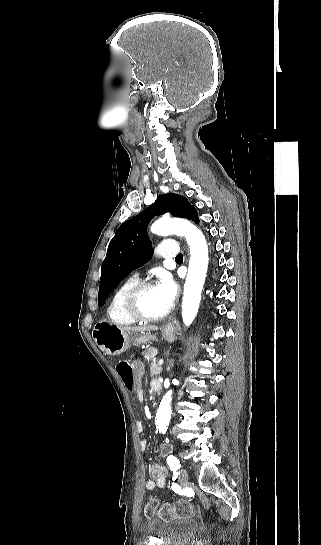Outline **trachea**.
Listing matches in <instances>:
<instances>
[{
	"label": "trachea",
	"instance_id": "obj_1",
	"mask_svg": "<svg viewBox=\"0 0 321 545\" xmlns=\"http://www.w3.org/2000/svg\"><path fill=\"white\" fill-rule=\"evenodd\" d=\"M175 260H176V261H181V260H183V256H182V254H181V253H179V255H177V257H176V259H175Z\"/></svg>",
	"mask_w": 321,
	"mask_h": 545
}]
</instances>
